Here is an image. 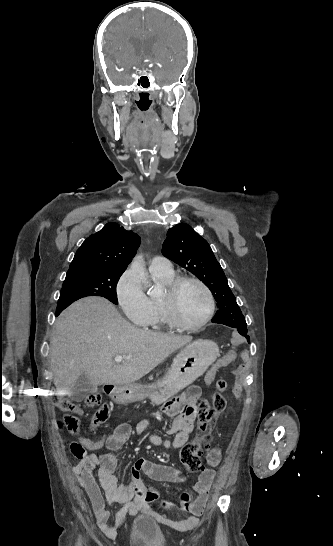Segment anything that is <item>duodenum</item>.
Segmentation results:
<instances>
[{"label":"duodenum","mask_w":333,"mask_h":546,"mask_svg":"<svg viewBox=\"0 0 333 546\" xmlns=\"http://www.w3.org/2000/svg\"><path fill=\"white\" fill-rule=\"evenodd\" d=\"M109 390L111 391V390H112V387H110V389H109Z\"/></svg>","instance_id":"duodenum-1"}]
</instances>
